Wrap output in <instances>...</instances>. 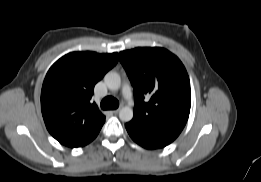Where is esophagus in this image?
Wrapping results in <instances>:
<instances>
[{
    "instance_id": "esophagus-1",
    "label": "esophagus",
    "mask_w": 261,
    "mask_h": 182,
    "mask_svg": "<svg viewBox=\"0 0 261 182\" xmlns=\"http://www.w3.org/2000/svg\"><path fill=\"white\" fill-rule=\"evenodd\" d=\"M119 110H120V109L112 110V113L116 115V114H118Z\"/></svg>"
}]
</instances>
